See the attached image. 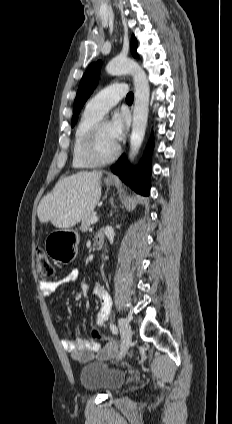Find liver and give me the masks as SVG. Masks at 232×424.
I'll return each mask as SVG.
<instances>
[{"label": "liver", "mask_w": 232, "mask_h": 424, "mask_svg": "<svg viewBox=\"0 0 232 424\" xmlns=\"http://www.w3.org/2000/svg\"><path fill=\"white\" fill-rule=\"evenodd\" d=\"M102 171H80L60 179L37 208L41 223L68 229L93 212L101 197Z\"/></svg>", "instance_id": "1"}]
</instances>
